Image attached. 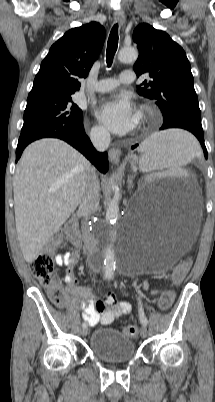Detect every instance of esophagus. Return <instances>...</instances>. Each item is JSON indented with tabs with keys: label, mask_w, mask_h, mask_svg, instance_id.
<instances>
[{
	"label": "esophagus",
	"mask_w": 215,
	"mask_h": 402,
	"mask_svg": "<svg viewBox=\"0 0 215 402\" xmlns=\"http://www.w3.org/2000/svg\"><path fill=\"white\" fill-rule=\"evenodd\" d=\"M115 22L123 23L125 20V13L122 10H117L114 13ZM121 150L118 148H111L109 150V159L111 163L118 164L120 161Z\"/></svg>",
	"instance_id": "obj_1"
}]
</instances>
